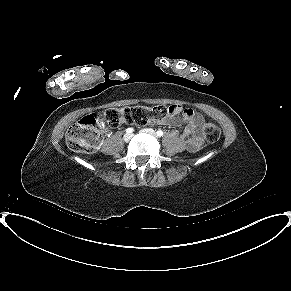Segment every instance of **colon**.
I'll return each mask as SVG.
<instances>
[{"instance_id": "5ec220e1", "label": "colon", "mask_w": 291, "mask_h": 291, "mask_svg": "<svg viewBox=\"0 0 291 291\" xmlns=\"http://www.w3.org/2000/svg\"><path fill=\"white\" fill-rule=\"evenodd\" d=\"M178 106H134L125 108H109L100 113L84 116L72 126L66 134V144L76 152L93 153L98 148L100 124L117 125L120 123L145 125L150 121H161L164 118L180 113ZM205 138L214 143L220 138V128L211 121H206L203 127Z\"/></svg>"}]
</instances>
